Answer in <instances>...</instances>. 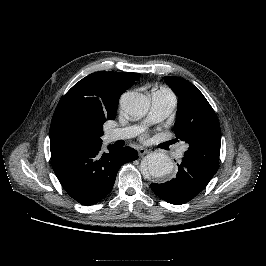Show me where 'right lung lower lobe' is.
Masks as SVG:
<instances>
[{"label": "right lung lower lobe", "instance_id": "right-lung-lower-lobe-1", "mask_svg": "<svg viewBox=\"0 0 266 266\" xmlns=\"http://www.w3.org/2000/svg\"><path fill=\"white\" fill-rule=\"evenodd\" d=\"M102 143L62 146L51 149L52 168L65 191L77 202L89 206L98 203L111 191L119 168L138 158L136 150Z\"/></svg>", "mask_w": 266, "mask_h": 266}]
</instances>
